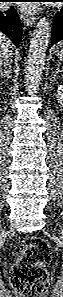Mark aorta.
<instances>
[{
	"label": "aorta",
	"instance_id": "762f6f07",
	"mask_svg": "<svg viewBox=\"0 0 63 297\" xmlns=\"http://www.w3.org/2000/svg\"><path fill=\"white\" fill-rule=\"evenodd\" d=\"M50 33V20L46 17L41 18L30 40L25 66V87L30 94L35 93L41 83Z\"/></svg>",
	"mask_w": 63,
	"mask_h": 297
}]
</instances>
